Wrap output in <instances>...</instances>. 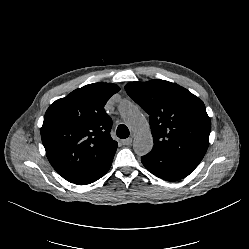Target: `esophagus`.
Here are the masks:
<instances>
[{"label":"esophagus","mask_w":249,"mask_h":249,"mask_svg":"<svg viewBox=\"0 0 249 249\" xmlns=\"http://www.w3.org/2000/svg\"><path fill=\"white\" fill-rule=\"evenodd\" d=\"M131 143H132V138L131 137H129V138L122 141L123 145H130Z\"/></svg>","instance_id":"obj_1"}]
</instances>
